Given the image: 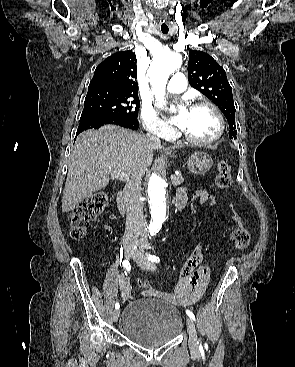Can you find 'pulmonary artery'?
Here are the masks:
<instances>
[{"mask_svg":"<svg viewBox=\"0 0 295 367\" xmlns=\"http://www.w3.org/2000/svg\"><path fill=\"white\" fill-rule=\"evenodd\" d=\"M187 87V80L183 73L176 72L173 74L167 85V91L170 93H181Z\"/></svg>","mask_w":295,"mask_h":367,"instance_id":"1","label":"pulmonary artery"}]
</instances>
